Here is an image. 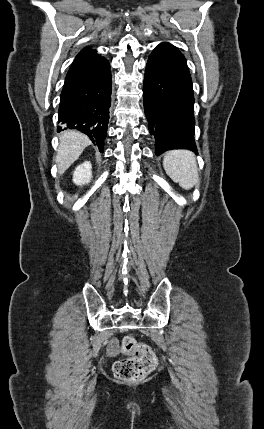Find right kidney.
<instances>
[{
    "label": "right kidney",
    "instance_id": "ca27d5eb",
    "mask_svg": "<svg viewBox=\"0 0 264 429\" xmlns=\"http://www.w3.org/2000/svg\"><path fill=\"white\" fill-rule=\"evenodd\" d=\"M92 178V165L85 161L78 165L73 173V182L76 185H84L90 182Z\"/></svg>",
    "mask_w": 264,
    "mask_h": 429
}]
</instances>
